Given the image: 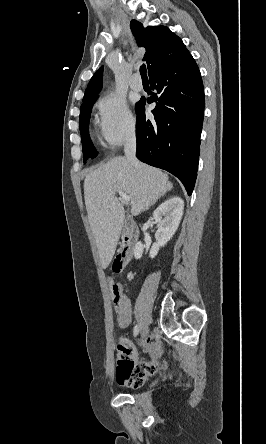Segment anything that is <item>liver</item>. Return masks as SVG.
Returning <instances> with one entry per match:
<instances>
[{
	"label": "liver",
	"instance_id": "1",
	"mask_svg": "<svg viewBox=\"0 0 266 444\" xmlns=\"http://www.w3.org/2000/svg\"><path fill=\"white\" fill-rule=\"evenodd\" d=\"M172 188L168 176L159 169L139 161L133 165L125 157L112 158L87 174L85 205L104 269L115 254L125 219L124 208L115 194L126 193L130 197L131 213L137 216Z\"/></svg>",
	"mask_w": 266,
	"mask_h": 444
}]
</instances>
